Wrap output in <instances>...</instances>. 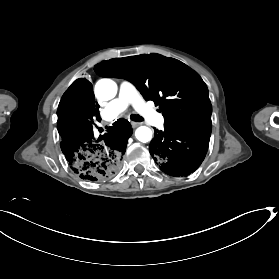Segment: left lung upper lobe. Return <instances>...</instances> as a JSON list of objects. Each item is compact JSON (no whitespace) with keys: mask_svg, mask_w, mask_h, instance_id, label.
I'll list each match as a JSON object with an SVG mask.
<instances>
[{"mask_svg":"<svg viewBox=\"0 0 279 279\" xmlns=\"http://www.w3.org/2000/svg\"><path fill=\"white\" fill-rule=\"evenodd\" d=\"M94 70L101 77L132 82L146 100L159 106L165 126L211 130L208 89L201 77L182 62L153 53L103 61Z\"/></svg>","mask_w":279,"mask_h":279,"instance_id":"obj_1","label":"left lung upper lobe"}]
</instances>
